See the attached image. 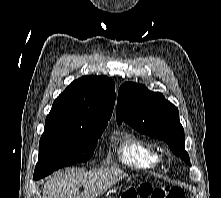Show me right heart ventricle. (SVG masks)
Segmentation results:
<instances>
[{
  "instance_id": "e07e8e85",
  "label": "right heart ventricle",
  "mask_w": 221,
  "mask_h": 198,
  "mask_svg": "<svg viewBox=\"0 0 221 198\" xmlns=\"http://www.w3.org/2000/svg\"><path fill=\"white\" fill-rule=\"evenodd\" d=\"M116 153L122 164L138 170L155 169L161 163L159 149L132 133L125 134L119 140Z\"/></svg>"
}]
</instances>
